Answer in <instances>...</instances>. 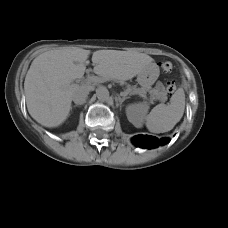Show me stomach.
Listing matches in <instances>:
<instances>
[{"label":"stomach","mask_w":228,"mask_h":228,"mask_svg":"<svg viewBox=\"0 0 228 228\" xmlns=\"http://www.w3.org/2000/svg\"><path fill=\"white\" fill-rule=\"evenodd\" d=\"M158 76L159 68L155 63H152L138 74L137 81L142 86V88L148 89L155 83Z\"/></svg>","instance_id":"obj_1"}]
</instances>
